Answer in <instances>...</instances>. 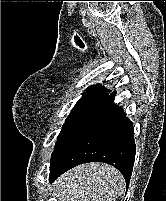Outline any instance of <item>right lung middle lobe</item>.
Instances as JSON below:
<instances>
[{
	"mask_svg": "<svg viewBox=\"0 0 166 201\" xmlns=\"http://www.w3.org/2000/svg\"><path fill=\"white\" fill-rule=\"evenodd\" d=\"M105 99L106 97L83 98L76 103L59 134L51 159L84 122L103 104Z\"/></svg>",
	"mask_w": 166,
	"mask_h": 201,
	"instance_id": "right-lung-middle-lobe-1",
	"label": "right lung middle lobe"
}]
</instances>
